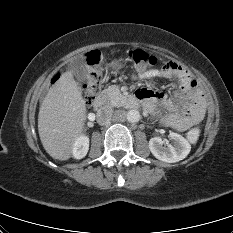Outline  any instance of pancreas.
Masks as SVG:
<instances>
[{
    "label": "pancreas",
    "mask_w": 233,
    "mask_h": 233,
    "mask_svg": "<svg viewBox=\"0 0 233 233\" xmlns=\"http://www.w3.org/2000/svg\"><path fill=\"white\" fill-rule=\"evenodd\" d=\"M104 93L112 106L121 107L128 106L129 104V98L124 96L115 85L109 86L105 89Z\"/></svg>",
    "instance_id": "obj_1"
}]
</instances>
